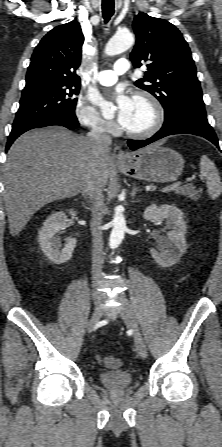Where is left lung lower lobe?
<instances>
[{
    "label": "left lung lower lobe",
    "mask_w": 222,
    "mask_h": 447,
    "mask_svg": "<svg viewBox=\"0 0 222 447\" xmlns=\"http://www.w3.org/2000/svg\"><path fill=\"white\" fill-rule=\"evenodd\" d=\"M174 134H193L202 136L218 148V139L207 118L199 117L188 112H175L166 118L162 128L151 138L146 140H128V145L132 150L144 147L163 137Z\"/></svg>",
    "instance_id": "left-lung-lower-lobe-1"
}]
</instances>
